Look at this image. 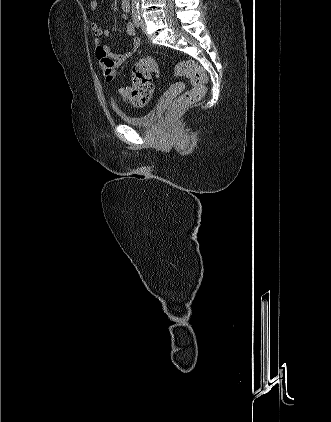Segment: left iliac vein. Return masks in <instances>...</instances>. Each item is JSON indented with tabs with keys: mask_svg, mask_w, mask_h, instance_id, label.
Wrapping results in <instances>:
<instances>
[{
	"mask_svg": "<svg viewBox=\"0 0 331 422\" xmlns=\"http://www.w3.org/2000/svg\"><path fill=\"white\" fill-rule=\"evenodd\" d=\"M141 30H142L143 33L146 32V25H145L144 20L141 21Z\"/></svg>",
	"mask_w": 331,
	"mask_h": 422,
	"instance_id": "obj_1",
	"label": "left iliac vein"
}]
</instances>
